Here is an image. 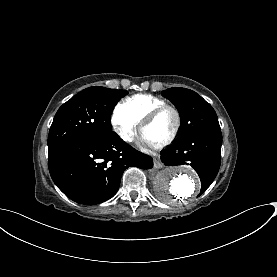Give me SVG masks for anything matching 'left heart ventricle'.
<instances>
[{"label": "left heart ventricle", "instance_id": "b2bd125f", "mask_svg": "<svg viewBox=\"0 0 277 277\" xmlns=\"http://www.w3.org/2000/svg\"><path fill=\"white\" fill-rule=\"evenodd\" d=\"M176 122L172 110L164 111L152 124L147 126L143 133L155 144L165 140L173 131Z\"/></svg>", "mask_w": 277, "mask_h": 277}]
</instances>
